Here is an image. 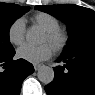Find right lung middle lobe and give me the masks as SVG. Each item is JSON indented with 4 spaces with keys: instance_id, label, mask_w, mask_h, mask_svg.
I'll return each mask as SVG.
<instances>
[{
    "instance_id": "1",
    "label": "right lung middle lobe",
    "mask_w": 95,
    "mask_h": 95,
    "mask_svg": "<svg viewBox=\"0 0 95 95\" xmlns=\"http://www.w3.org/2000/svg\"><path fill=\"white\" fill-rule=\"evenodd\" d=\"M28 10L29 7L0 3V56L14 51L12 44L9 42L10 26L17 18L28 12Z\"/></svg>"
}]
</instances>
